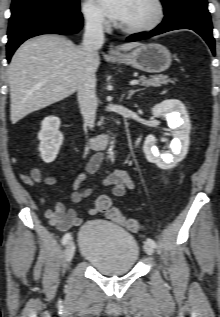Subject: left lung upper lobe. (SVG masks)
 I'll return each instance as SVG.
<instances>
[{
    "label": "left lung upper lobe",
    "instance_id": "5c2ea615",
    "mask_svg": "<svg viewBox=\"0 0 220 317\" xmlns=\"http://www.w3.org/2000/svg\"><path fill=\"white\" fill-rule=\"evenodd\" d=\"M164 5V10H169L174 7L179 0H161Z\"/></svg>",
    "mask_w": 220,
    "mask_h": 317
}]
</instances>
